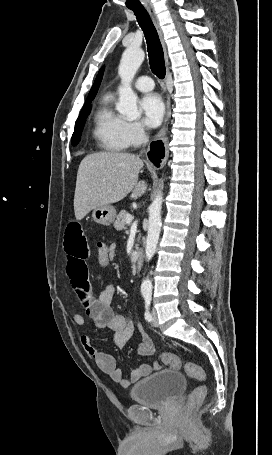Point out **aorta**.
<instances>
[{"label": "aorta", "mask_w": 272, "mask_h": 455, "mask_svg": "<svg viewBox=\"0 0 272 455\" xmlns=\"http://www.w3.org/2000/svg\"><path fill=\"white\" fill-rule=\"evenodd\" d=\"M145 53L140 48L128 47L121 58L118 73L121 78L119 88V102L116 105L120 114L128 120H136L141 116L137 107V95L131 87V82L144 61ZM163 196L158 193L149 206L148 233L146 238L145 255L146 260L150 261L156 252V247L161 231V209ZM142 293L152 292L151 280L147 277L141 284Z\"/></svg>", "instance_id": "762f6f07"}]
</instances>
